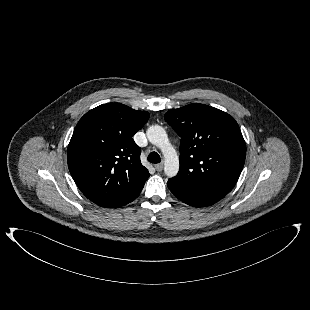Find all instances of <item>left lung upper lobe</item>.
Listing matches in <instances>:
<instances>
[{"label":"left lung upper lobe","instance_id":"1","mask_svg":"<svg viewBox=\"0 0 310 310\" xmlns=\"http://www.w3.org/2000/svg\"><path fill=\"white\" fill-rule=\"evenodd\" d=\"M164 118L181 137L180 169L170 180L207 195H227L241 174L246 156V144L235 119L198 103L172 109Z\"/></svg>","mask_w":310,"mask_h":310}]
</instances>
